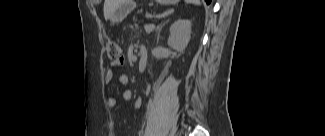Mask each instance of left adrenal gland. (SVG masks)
I'll return each mask as SVG.
<instances>
[{"mask_svg": "<svg viewBox=\"0 0 325 136\" xmlns=\"http://www.w3.org/2000/svg\"><path fill=\"white\" fill-rule=\"evenodd\" d=\"M171 13H172V11L169 12V14H171ZM167 22H168V20H167L166 22H164L163 24L157 26V40L159 39V35H160V31H161L162 27H163V26L165 25V23H167Z\"/></svg>", "mask_w": 325, "mask_h": 136, "instance_id": "obj_1", "label": "left adrenal gland"}]
</instances>
